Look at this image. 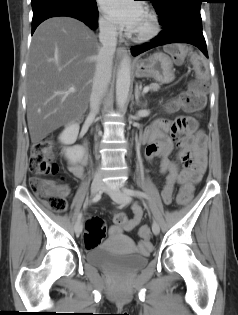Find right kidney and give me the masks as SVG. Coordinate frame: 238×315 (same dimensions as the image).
I'll return each instance as SVG.
<instances>
[{"instance_id": "obj_1", "label": "right kidney", "mask_w": 238, "mask_h": 315, "mask_svg": "<svg viewBox=\"0 0 238 315\" xmlns=\"http://www.w3.org/2000/svg\"><path fill=\"white\" fill-rule=\"evenodd\" d=\"M79 133V125L72 124L66 127L59 136V140L64 145H72L76 142ZM65 157L73 164L79 162L84 155V148L79 145L66 147L63 150Z\"/></svg>"}]
</instances>
